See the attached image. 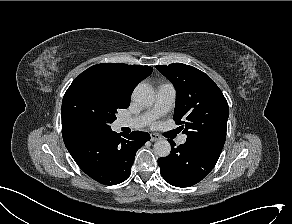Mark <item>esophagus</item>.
Segmentation results:
<instances>
[{"label":"esophagus","instance_id":"esophagus-1","mask_svg":"<svg viewBox=\"0 0 292 224\" xmlns=\"http://www.w3.org/2000/svg\"><path fill=\"white\" fill-rule=\"evenodd\" d=\"M150 138H151V141H157V140L161 139V136L158 135L157 133H151Z\"/></svg>","mask_w":292,"mask_h":224}]
</instances>
